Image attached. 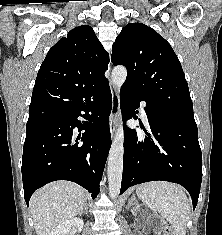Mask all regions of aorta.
I'll return each instance as SVG.
<instances>
[{
    "label": "aorta",
    "mask_w": 222,
    "mask_h": 235,
    "mask_svg": "<svg viewBox=\"0 0 222 235\" xmlns=\"http://www.w3.org/2000/svg\"><path fill=\"white\" fill-rule=\"evenodd\" d=\"M127 77V70L124 66L118 65L113 68L111 80L118 90L124 84ZM123 155H124V131L120 125L116 131L114 140L108 156V186L109 194L112 199L119 195L123 173Z\"/></svg>",
    "instance_id": "1"
}]
</instances>
